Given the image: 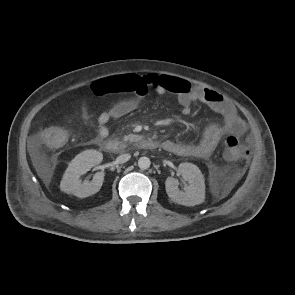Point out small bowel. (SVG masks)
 Instances as JSON below:
<instances>
[{"mask_svg":"<svg viewBox=\"0 0 295 295\" xmlns=\"http://www.w3.org/2000/svg\"><path fill=\"white\" fill-rule=\"evenodd\" d=\"M150 89L158 94L170 93L175 95L183 115L191 113L193 103L201 102L223 118L222 123L209 125L202 138L196 143L163 141L161 146L168 152L180 156L207 159L213 154L224 137L241 136L246 131L245 122L237 114L235 107L216 91L192 86L184 79L166 75H116L96 80L87 89L88 97H100L121 92H129L134 95L132 98L115 103L97 117V138L99 140L106 139L109 136V121L121 118L136 110ZM80 117L85 127L90 128L92 126L88 99H85L81 104Z\"/></svg>","mask_w":295,"mask_h":295,"instance_id":"c3829d8e","label":"small bowel"}]
</instances>
